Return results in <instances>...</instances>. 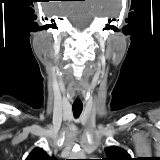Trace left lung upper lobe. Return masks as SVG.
Segmentation results:
<instances>
[{
	"label": "left lung upper lobe",
	"instance_id": "obj_1",
	"mask_svg": "<svg viewBox=\"0 0 160 160\" xmlns=\"http://www.w3.org/2000/svg\"><path fill=\"white\" fill-rule=\"evenodd\" d=\"M105 152L108 158H102V160H132L126 150L117 146L107 147Z\"/></svg>",
	"mask_w": 160,
	"mask_h": 160
}]
</instances>
